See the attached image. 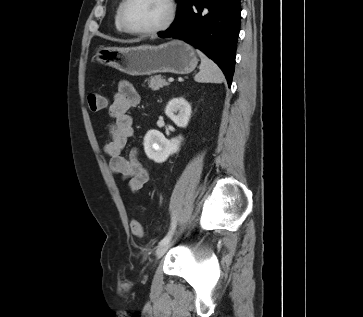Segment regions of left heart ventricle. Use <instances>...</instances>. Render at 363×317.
I'll list each match as a JSON object with an SVG mask.
<instances>
[{
  "label": "left heart ventricle",
  "instance_id": "b2bd125f",
  "mask_svg": "<svg viewBox=\"0 0 363 317\" xmlns=\"http://www.w3.org/2000/svg\"><path fill=\"white\" fill-rule=\"evenodd\" d=\"M165 0H131L126 9V20L133 29H151L167 17Z\"/></svg>",
  "mask_w": 363,
  "mask_h": 317
}]
</instances>
